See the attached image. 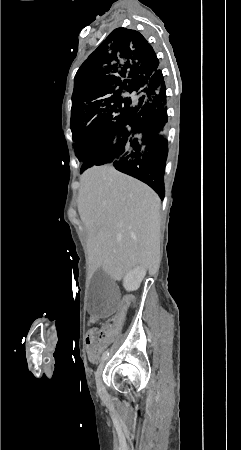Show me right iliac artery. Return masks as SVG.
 <instances>
[{"label": "right iliac artery", "mask_w": 241, "mask_h": 450, "mask_svg": "<svg viewBox=\"0 0 241 450\" xmlns=\"http://www.w3.org/2000/svg\"><path fill=\"white\" fill-rule=\"evenodd\" d=\"M108 355H109V352L105 351L104 354L102 355V360L107 359Z\"/></svg>", "instance_id": "obj_1"}]
</instances>
